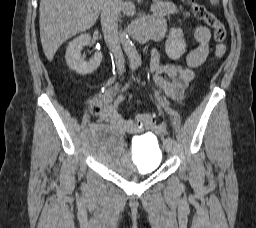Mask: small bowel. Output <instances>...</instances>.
Instances as JSON below:
<instances>
[{
  "instance_id": "obj_1",
  "label": "small bowel",
  "mask_w": 256,
  "mask_h": 228,
  "mask_svg": "<svg viewBox=\"0 0 256 228\" xmlns=\"http://www.w3.org/2000/svg\"><path fill=\"white\" fill-rule=\"evenodd\" d=\"M153 16L148 21L157 25L165 31V17L178 13L179 9L171 2L156 0L153 4ZM186 15L188 13H185ZM197 46L191 50L186 57V66L176 63L161 64L160 55L157 49L151 50L150 71L155 84L170 98L180 100L189 83L194 79V68L201 66L209 54V42L211 39L210 30L197 24L193 32ZM167 77V78H166ZM116 87H107L103 93L101 119L116 128L131 126L130 119L125 118L120 110V104L124 100L123 95H118L113 101L112 97ZM156 133H164L165 125H158L153 128Z\"/></svg>"
}]
</instances>
